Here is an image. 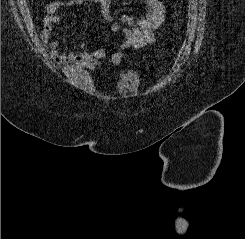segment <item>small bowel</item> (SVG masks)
Listing matches in <instances>:
<instances>
[{"label": "small bowel", "instance_id": "1", "mask_svg": "<svg viewBox=\"0 0 245 239\" xmlns=\"http://www.w3.org/2000/svg\"><path fill=\"white\" fill-rule=\"evenodd\" d=\"M124 1V0H117ZM85 3H96L101 7L102 14L112 23L113 32L122 31L124 41L119 51L114 53L110 59V65H118L123 52L127 49L140 50L147 45L154 43V31L162 24L164 20V5L161 0H144L146 13L142 17L133 19L127 15L115 16L111 12L112 0H64L55 1L47 6V16L44 19L43 35L48 36L52 26L59 25L62 21L58 11L64 7L80 6ZM85 42H81V50L69 54H61L57 51V41L50 44V58L58 64H66L71 69H99L102 67L101 59L105 56V50H96L93 52L84 49Z\"/></svg>", "mask_w": 245, "mask_h": 239}]
</instances>
